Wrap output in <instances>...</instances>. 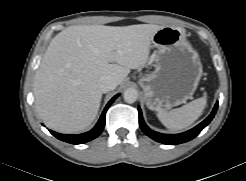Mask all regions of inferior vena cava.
<instances>
[{
	"label": "inferior vena cava",
	"instance_id": "obj_1",
	"mask_svg": "<svg viewBox=\"0 0 246 181\" xmlns=\"http://www.w3.org/2000/svg\"><path fill=\"white\" fill-rule=\"evenodd\" d=\"M117 86V82L111 75H102L98 81V88L102 93L114 90Z\"/></svg>",
	"mask_w": 246,
	"mask_h": 181
}]
</instances>
